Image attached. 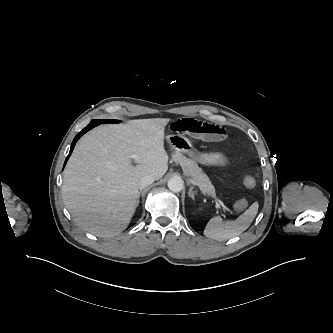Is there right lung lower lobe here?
<instances>
[{
    "label": "right lung lower lobe",
    "mask_w": 333,
    "mask_h": 333,
    "mask_svg": "<svg viewBox=\"0 0 333 333\" xmlns=\"http://www.w3.org/2000/svg\"><path fill=\"white\" fill-rule=\"evenodd\" d=\"M99 124H104V120H92V121L90 122V124H89L87 127H85L81 132H79V133L76 135V137L74 138V140H73V142H72V144H71V149H70V152H69L68 157L66 158V161L68 160L69 156L71 155V153H72V151H73V148H74L76 142L79 140V138H80L83 134H85L87 131L91 130V129H92L93 127H95V126H98ZM66 161H65L64 165L66 164Z\"/></svg>",
    "instance_id": "obj_1"
}]
</instances>
